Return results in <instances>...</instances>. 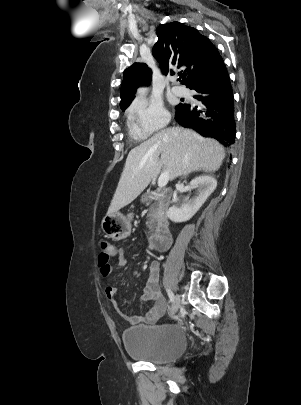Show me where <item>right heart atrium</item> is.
<instances>
[{
    "instance_id": "d8ad5b80",
    "label": "right heart atrium",
    "mask_w": 301,
    "mask_h": 405,
    "mask_svg": "<svg viewBox=\"0 0 301 405\" xmlns=\"http://www.w3.org/2000/svg\"><path fill=\"white\" fill-rule=\"evenodd\" d=\"M129 118L142 136L163 129L170 121V114L157 99H138L129 107Z\"/></svg>"
}]
</instances>
